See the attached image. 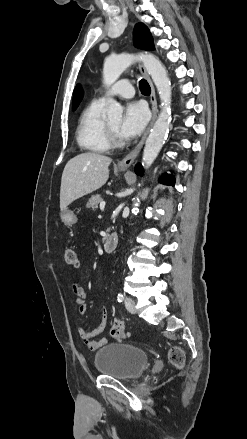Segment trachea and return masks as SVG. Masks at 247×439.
Returning <instances> with one entry per match:
<instances>
[{"label":"trachea","mask_w":247,"mask_h":439,"mask_svg":"<svg viewBox=\"0 0 247 439\" xmlns=\"http://www.w3.org/2000/svg\"><path fill=\"white\" fill-rule=\"evenodd\" d=\"M139 88L142 94L149 95L151 93V88L145 79L140 80Z\"/></svg>","instance_id":"3493384b"}]
</instances>
